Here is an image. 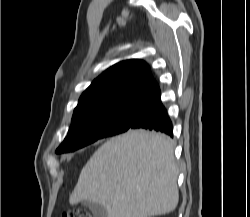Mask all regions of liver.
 <instances>
[{"label":"liver","mask_w":250,"mask_h":217,"mask_svg":"<svg viewBox=\"0 0 250 217\" xmlns=\"http://www.w3.org/2000/svg\"><path fill=\"white\" fill-rule=\"evenodd\" d=\"M178 174L172 139L129 130L95 151L81 170L69 203H98L107 217L167 214L178 204Z\"/></svg>","instance_id":"liver-1"}]
</instances>
